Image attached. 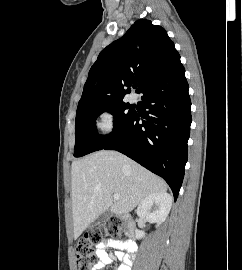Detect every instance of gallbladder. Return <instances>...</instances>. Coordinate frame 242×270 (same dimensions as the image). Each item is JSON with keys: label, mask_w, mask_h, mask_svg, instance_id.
Masks as SVG:
<instances>
[{"label": "gallbladder", "mask_w": 242, "mask_h": 270, "mask_svg": "<svg viewBox=\"0 0 242 270\" xmlns=\"http://www.w3.org/2000/svg\"><path fill=\"white\" fill-rule=\"evenodd\" d=\"M111 217V211L110 209H107L104 211L93 223L94 225H101L106 223V221Z\"/></svg>", "instance_id": "obj_1"}]
</instances>
